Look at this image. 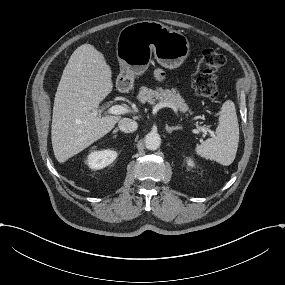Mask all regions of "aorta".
<instances>
[{
	"instance_id": "1",
	"label": "aorta",
	"mask_w": 285,
	"mask_h": 285,
	"mask_svg": "<svg viewBox=\"0 0 285 285\" xmlns=\"http://www.w3.org/2000/svg\"><path fill=\"white\" fill-rule=\"evenodd\" d=\"M161 144L160 135L156 132H150L145 136V145L148 150H156Z\"/></svg>"
}]
</instances>
